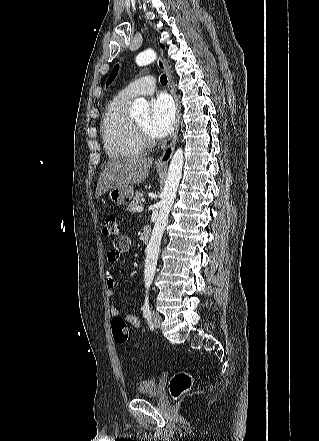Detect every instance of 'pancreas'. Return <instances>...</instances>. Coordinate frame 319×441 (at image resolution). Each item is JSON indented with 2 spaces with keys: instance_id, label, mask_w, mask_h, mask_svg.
<instances>
[{
  "instance_id": "1",
  "label": "pancreas",
  "mask_w": 319,
  "mask_h": 441,
  "mask_svg": "<svg viewBox=\"0 0 319 441\" xmlns=\"http://www.w3.org/2000/svg\"><path fill=\"white\" fill-rule=\"evenodd\" d=\"M142 197H143V195H142V193L141 192H139V191H137L136 193H135V196H134V198H133V200L128 204V206H127V210L129 211V212H136V208L141 204V200H142Z\"/></svg>"
}]
</instances>
